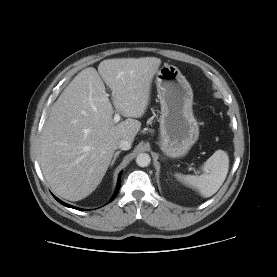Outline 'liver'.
<instances>
[{"instance_id": "liver-1", "label": "liver", "mask_w": 277, "mask_h": 277, "mask_svg": "<svg viewBox=\"0 0 277 277\" xmlns=\"http://www.w3.org/2000/svg\"><path fill=\"white\" fill-rule=\"evenodd\" d=\"M161 60L156 57L103 60L98 72H79L53 104L41 136L40 162L51 189L79 201L102 181L117 142H133L149 104L151 83ZM116 112L128 117L115 123Z\"/></svg>"}]
</instances>
